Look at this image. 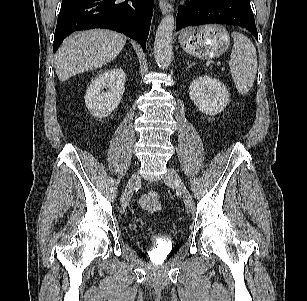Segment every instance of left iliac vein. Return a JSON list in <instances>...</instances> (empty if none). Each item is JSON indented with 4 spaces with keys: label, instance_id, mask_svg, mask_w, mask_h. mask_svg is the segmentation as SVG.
<instances>
[{
    "label": "left iliac vein",
    "instance_id": "1",
    "mask_svg": "<svg viewBox=\"0 0 307 301\" xmlns=\"http://www.w3.org/2000/svg\"><path fill=\"white\" fill-rule=\"evenodd\" d=\"M164 182L177 189V191L182 195L185 206L188 211L194 210V201L189 191L187 190L185 184L183 183L179 174L173 168L168 169V173L164 177Z\"/></svg>",
    "mask_w": 307,
    "mask_h": 301
}]
</instances>
